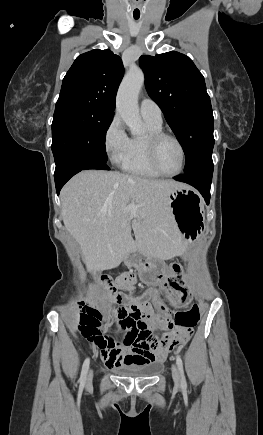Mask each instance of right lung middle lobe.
Here are the masks:
<instances>
[{
    "instance_id": "obj_1",
    "label": "right lung middle lobe",
    "mask_w": 263,
    "mask_h": 435,
    "mask_svg": "<svg viewBox=\"0 0 263 435\" xmlns=\"http://www.w3.org/2000/svg\"><path fill=\"white\" fill-rule=\"evenodd\" d=\"M113 116L112 111L92 105L69 104L56 107L51 146L56 166L71 157L106 163V131Z\"/></svg>"
}]
</instances>
